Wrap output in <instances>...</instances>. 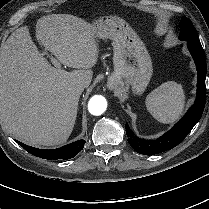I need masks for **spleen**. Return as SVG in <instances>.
<instances>
[{
    "mask_svg": "<svg viewBox=\"0 0 209 209\" xmlns=\"http://www.w3.org/2000/svg\"><path fill=\"white\" fill-rule=\"evenodd\" d=\"M147 110L161 123L175 122L183 112L185 94L182 85L168 81L151 91L145 101Z\"/></svg>",
    "mask_w": 209,
    "mask_h": 209,
    "instance_id": "3e777b00",
    "label": "spleen"
}]
</instances>
